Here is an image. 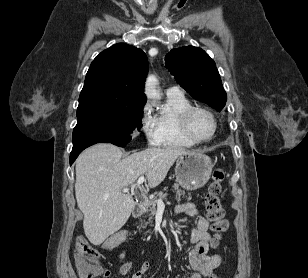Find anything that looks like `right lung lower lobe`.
Here are the masks:
<instances>
[{
	"instance_id": "right-lung-lower-lobe-1",
	"label": "right lung lower lobe",
	"mask_w": 308,
	"mask_h": 278,
	"mask_svg": "<svg viewBox=\"0 0 308 278\" xmlns=\"http://www.w3.org/2000/svg\"><path fill=\"white\" fill-rule=\"evenodd\" d=\"M95 143H83V144H78L74 145L72 152L70 154V165L75 161V159L78 157V155L87 147L93 145ZM120 147H124L125 145H117Z\"/></svg>"
}]
</instances>
